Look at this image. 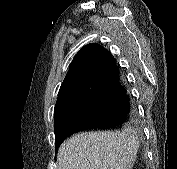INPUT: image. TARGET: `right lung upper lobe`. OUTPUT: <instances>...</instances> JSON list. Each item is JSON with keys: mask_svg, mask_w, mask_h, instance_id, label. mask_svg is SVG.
Here are the masks:
<instances>
[{"mask_svg": "<svg viewBox=\"0 0 177 169\" xmlns=\"http://www.w3.org/2000/svg\"><path fill=\"white\" fill-rule=\"evenodd\" d=\"M113 58L110 53L98 44H89L81 48L74 57L70 70L62 82L58 101L75 93L81 86Z\"/></svg>", "mask_w": 177, "mask_h": 169, "instance_id": "cb5924a9", "label": "right lung upper lobe"}]
</instances>
